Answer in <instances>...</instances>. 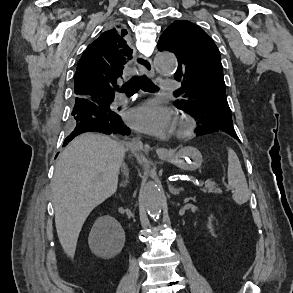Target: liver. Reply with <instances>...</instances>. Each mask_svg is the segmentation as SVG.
I'll use <instances>...</instances> for the list:
<instances>
[{
  "instance_id": "1",
  "label": "liver",
  "mask_w": 293,
  "mask_h": 293,
  "mask_svg": "<svg viewBox=\"0 0 293 293\" xmlns=\"http://www.w3.org/2000/svg\"><path fill=\"white\" fill-rule=\"evenodd\" d=\"M124 156L122 144L93 133L76 137L62 152L51 192L58 238L69 257L90 212L116 192Z\"/></svg>"
}]
</instances>
